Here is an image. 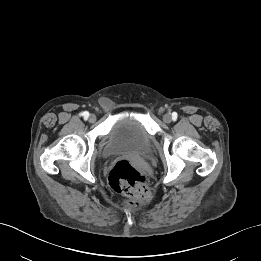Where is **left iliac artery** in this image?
<instances>
[{
  "instance_id": "44dca946",
  "label": "left iliac artery",
  "mask_w": 261,
  "mask_h": 261,
  "mask_svg": "<svg viewBox=\"0 0 261 261\" xmlns=\"http://www.w3.org/2000/svg\"><path fill=\"white\" fill-rule=\"evenodd\" d=\"M172 116H173V119H176V118H177V113H176V112H173V113H172Z\"/></svg>"
}]
</instances>
